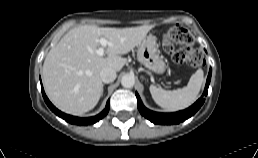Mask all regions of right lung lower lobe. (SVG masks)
<instances>
[{"instance_id": "98d812e1", "label": "right lung lower lobe", "mask_w": 258, "mask_h": 158, "mask_svg": "<svg viewBox=\"0 0 258 158\" xmlns=\"http://www.w3.org/2000/svg\"><path fill=\"white\" fill-rule=\"evenodd\" d=\"M41 91H42V95L43 98L47 104V106L59 117L63 118L66 122L71 123V124H76V125H88V124H94L96 122H98L100 119H102L108 112H109V104L110 101H107L106 107L105 109L98 114L97 116L94 117H89V118H79V117H75V116H71L68 114H65L61 111H59L57 108H55L53 106V104L49 101V99L47 98L43 86L41 84Z\"/></svg>"}]
</instances>
